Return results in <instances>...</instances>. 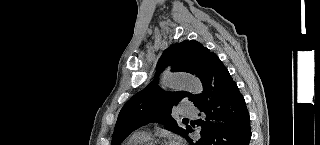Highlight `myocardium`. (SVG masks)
I'll return each instance as SVG.
<instances>
[{"label":"myocardium","mask_w":320,"mask_h":145,"mask_svg":"<svg viewBox=\"0 0 320 145\" xmlns=\"http://www.w3.org/2000/svg\"><path fill=\"white\" fill-rule=\"evenodd\" d=\"M164 143L159 140H151L146 142L144 145H163Z\"/></svg>","instance_id":"f54148a6"}]
</instances>
